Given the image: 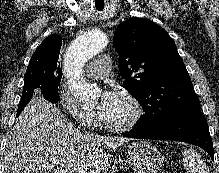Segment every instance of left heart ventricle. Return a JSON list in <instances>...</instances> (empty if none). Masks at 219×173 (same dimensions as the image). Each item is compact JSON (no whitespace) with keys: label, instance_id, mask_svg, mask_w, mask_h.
I'll return each mask as SVG.
<instances>
[{"label":"left heart ventricle","instance_id":"left-heart-ventricle-1","mask_svg":"<svg viewBox=\"0 0 219 173\" xmlns=\"http://www.w3.org/2000/svg\"><path fill=\"white\" fill-rule=\"evenodd\" d=\"M133 114L131 104L120 94L116 93L114 101L110 105L103 120L112 124H122Z\"/></svg>","mask_w":219,"mask_h":173}]
</instances>
